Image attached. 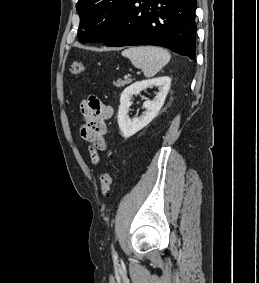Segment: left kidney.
<instances>
[{"label":"left kidney","instance_id":"left-kidney-1","mask_svg":"<svg viewBox=\"0 0 259 283\" xmlns=\"http://www.w3.org/2000/svg\"><path fill=\"white\" fill-rule=\"evenodd\" d=\"M171 79L168 76L158 77L149 80L138 81L128 86L121 94L118 110V125L121 135L129 138L147 126L158 114L164 104L165 98L170 89ZM158 87L159 92L152 101H145L143 106L146 109L139 118L130 119L128 116L129 107L133 95H138L146 88Z\"/></svg>","mask_w":259,"mask_h":283}]
</instances>
